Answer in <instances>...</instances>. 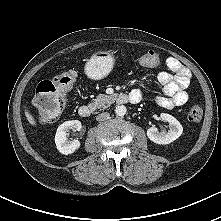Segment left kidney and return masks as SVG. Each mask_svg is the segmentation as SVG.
Returning <instances> with one entry per match:
<instances>
[{"label":"left kidney","mask_w":221,"mask_h":221,"mask_svg":"<svg viewBox=\"0 0 221 221\" xmlns=\"http://www.w3.org/2000/svg\"><path fill=\"white\" fill-rule=\"evenodd\" d=\"M161 119L169 123V130L167 132H159L157 128L151 127L147 130L148 138L156 144L166 145L178 139L183 127L180 122L170 114L161 113Z\"/></svg>","instance_id":"obj_1"}]
</instances>
